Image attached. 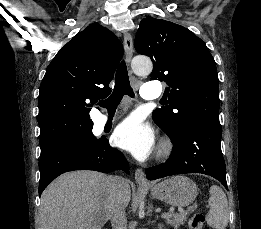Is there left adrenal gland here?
<instances>
[{
    "label": "left adrenal gland",
    "instance_id": "a2214340",
    "mask_svg": "<svg viewBox=\"0 0 261 229\" xmlns=\"http://www.w3.org/2000/svg\"><path fill=\"white\" fill-rule=\"evenodd\" d=\"M158 219V217H157ZM164 225H158V229H163Z\"/></svg>",
    "mask_w": 261,
    "mask_h": 229
}]
</instances>
